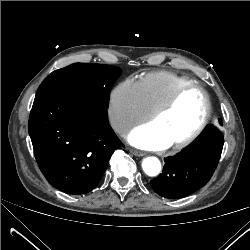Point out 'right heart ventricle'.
I'll return each mask as SVG.
<instances>
[{
	"label": "right heart ventricle",
	"instance_id": "right-heart-ventricle-1",
	"mask_svg": "<svg viewBox=\"0 0 250 250\" xmlns=\"http://www.w3.org/2000/svg\"><path fill=\"white\" fill-rule=\"evenodd\" d=\"M194 81L169 71H155L140 77L136 85L142 100L152 114L162 106L170 96L181 86Z\"/></svg>",
	"mask_w": 250,
	"mask_h": 250
}]
</instances>
